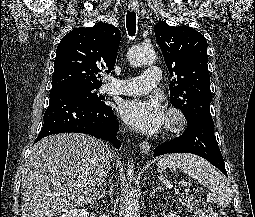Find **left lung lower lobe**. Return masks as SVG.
<instances>
[{
  "label": "left lung lower lobe",
  "mask_w": 255,
  "mask_h": 217,
  "mask_svg": "<svg viewBox=\"0 0 255 217\" xmlns=\"http://www.w3.org/2000/svg\"><path fill=\"white\" fill-rule=\"evenodd\" d=\"M167 153L198 155L227 176L224 160L214 135V123L211 120H199L188 125V129L182 135L154 149V156Z\"/></svg>",
  "instance_id": "left-lung-lower-lobe-1"
}]
</instances>
